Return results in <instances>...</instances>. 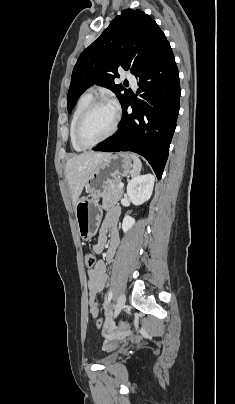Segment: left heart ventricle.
I'll return each instance as SVG.
<instances>
[{
	"label": "left heart ventricle",
	"mask_w": 235,
	"mask_h": 404,
	"mask_svg": "<svg viewBox=\"0 0 235 404\" xmlns=\"http://www.w3.org/2000/svg\"><path fill=\"white\" fill-rule=\"evenodd\" d=\"M115 116L114 108L109 105L96 107L86 118L82 127V138L93 143L106 135L112 127Z\"/></svg>",
	"instance_id": "left-heart-ventricle-1"
}]
</instances>
